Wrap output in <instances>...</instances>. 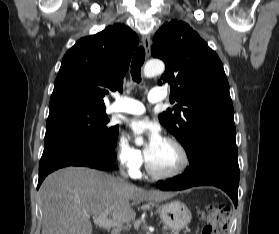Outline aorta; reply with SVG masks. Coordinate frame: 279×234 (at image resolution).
<instances>
[{
    "label": "aorta",
    "instance_id": "aorta-1",
    "mask_svg": "<svg viewBox=\"0 0 279 234\" xmlns=\"http://www.w3.org/2000/svg\"><path fill=\"white\" fill-rule=\"evenodd\" d=\"M164 70L165 65L161 60H150L145 64L144 76L149 78L155 75H160Z\"/></svg>",
    "mask_w": 279,
    "mask_h": 234
}]
</instances>
